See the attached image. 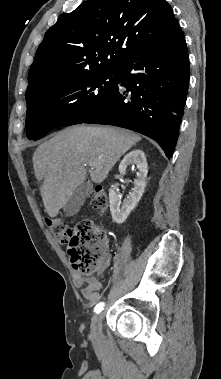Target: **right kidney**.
I'll list each match as a JSON object with an SVG mask.
<instances>
[{"label":"right kidney","mask_w":221,"mask_h":379,"mask_svg":"<svg viewBox=\"0 0 221 379\" xmlns=\"http://www.w3.org/2000/svg\"><path fill=\"white\" fill-rule=\"evenodd\" d=\"M129 165H135L137 168V178L134 180L132 192L129 193L122 203L120 196L116 192V187L112 185L109 190L110 212L117 224L125 222L140 201L146 186L148 168L144 152L136 149L126 154L119 164V173L125 174Z\"/></svg>","instance_id":"1"}]
</instances>
